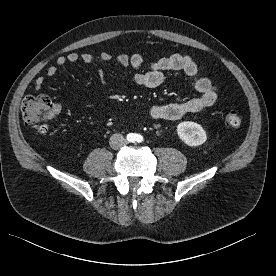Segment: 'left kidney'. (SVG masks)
Returning a JSON list of instances; mask_svg holds the SVG:
<instances>
[{"mask_svg": "<svg viewBox=\"0 0 276 276\" xmlns=\"http://www.w3.org/2000/svg\"><path fill=\"white\" fill-rule=\"evenodd\" d=\"M177 133L179 138L191 147L202 145L207 140V134L203 127L192 121L179 123Z\"/></svg>", "mask_w": 276, "mask_h": 276, "instance_id": "5707ae66", "label": "left kidney"}]
</instances>
